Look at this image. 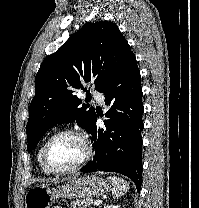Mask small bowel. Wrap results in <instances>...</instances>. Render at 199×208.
<instances>
[{
  "label": "small bowel",
  "mask_w": 199,
  "mask_h": 208,
  "mask_svg": "<svg viewBox=\"0 0 199 208\" xmlns=\"http://www.w3.org/2000/svg\"><path fill=\"white\" fill-rule=\"evenodd\" d=\"M53 208H63L62 206H54Z\"/></svg>",
  "instance_id": "1"
}]
</instances>
